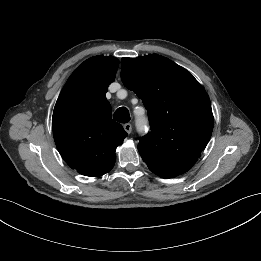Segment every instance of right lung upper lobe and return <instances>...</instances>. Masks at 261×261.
I'll list each match as a JSON object with an SVG mask.
<instances>
[{"label": "right lung upper lobe", "mask_w": 261, "mask_h": 261, "mask_svg": "<svg viewBox=\"0 0 261 261\" xmlns=\"http://www.w3.org/2000/svg\"><path fill=\"white\" fill-rule=\"evenodd\" d=\"M119 60L95 56L69 77L56 102L52 128L57 149L72 168L85 176H101L116 161L115 150L127 133L112 120L106 99Z\"/></svg>", "instance_id": "cb5924a9"}]
</instances>
